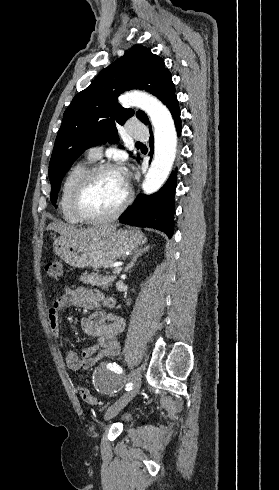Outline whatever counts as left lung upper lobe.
<instances>
[{
	"label": "left lung upper lobe",
	"mask_w": 279,
	"mask_h": 490,
	"mask_svg": "<svg viewBox=\"0 0 279 490\" xmlns=\"http://www.w3.org/2000/svg\"><path fill=\"white\" fill-rule=\"evenodd\" d=\"M134 88L149 91L166 106L176 96L171 73L163 59L141 45L125 51L123 57L102 70L73 98L63 115L49 163L53 204L65 173L87 148L107 140L118 141L116 125L123 124L135 112L118 105L117 97ZM136 116L149 124L144 112L138 111Z\"/></svg>",
	"instance_id": "5c2ea615"
}]
</instances>
